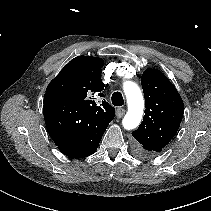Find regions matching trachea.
Returning a JSON list of instances; mask_svg holds the SVG:
<instances>
[{"label":"trachea","mask_w":211,"mask_h":211,"mask_svg":"<svg viewBox=\"0 0 211 211\" xmlns=\"http://www.w3.org/2000/svg\"><path fill=\"white\" fill-rule=\"evenodd\" d=\"M114 106H122L124 104L123 96L120 92H114L111 97Z\"/></svg>","instance_id":"1"}]
</instances>
